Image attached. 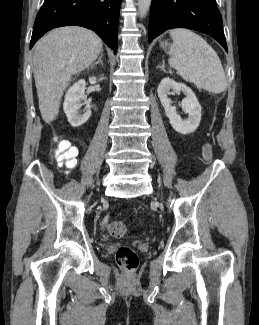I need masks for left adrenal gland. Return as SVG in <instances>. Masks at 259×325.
<instances>
[{
  "label": "left adrenal gland",
  "instance_id": "a2214340",
  "mask_svg": "<svg viewBox=\"0 0 259 325\" xmlns=\"http://www.w3.org/2000/svg\"><path fill=\"white\" fill-rule=\"evenodd\" d=\"M165 63L163 62V64L160 66V65H158L157 66V68H160L162 71H164V72H166V70H165Z\"/></svg>",
  "mask_w": 259,
  "mask_h": 325
}]
</instances>
